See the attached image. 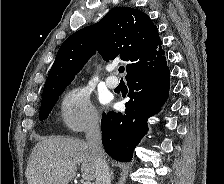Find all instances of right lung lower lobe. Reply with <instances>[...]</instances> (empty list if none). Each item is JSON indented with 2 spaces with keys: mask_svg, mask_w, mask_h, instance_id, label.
<instances>
[{
  "mask_svg": "<svg viewBox=\"0 0 224 184\" xmlns=\"http://www.w3.org/2000/svg\"><path fill=\"white\" fill-rule=\"evenodd\" d=\"M126 110L103 114L102 143L112 158L129 162L133 151L148 130L147 120L158 113L169 93L170 73L166 61L159 66L130 76Z\"/></svg>",
  "mask_w": 224,
  "mask_h": 184,
  "instance_id": "1",
  "label": "right lung lower lobe"
}]
</instances>
